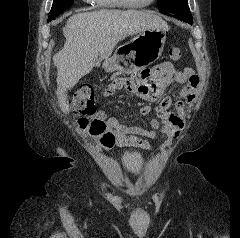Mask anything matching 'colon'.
Masks as SVG:
<instances>
[{
  "mask_svg": "<svg viewBox=\"0 0 240 238\" xmlns=\"http://www.w3.org/2000/svg\"><path fill=\"white\" fill-rule=\"evenodd\" d=\"M182 51L178 47L169 49V56L172 60H179ZM71 112L77 119L81 130L90 136L98 138L103 146H109L113 142V136L107 131L103 120L97 119L95 115L94 88L90 84L82 85L71 99Z\"/></svg>",
  "mask_w": 240,
  "mask_h": 238,
  "instance_id": "obj_1",
  "label": "colon"
}]
</instances>
